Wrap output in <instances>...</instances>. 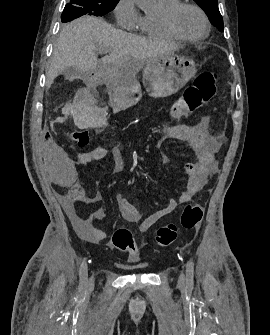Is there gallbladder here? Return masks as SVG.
I'll return each mask as SVG.
<instances>
[{
    "label": "gallbladder",
    "mask_w": 270,
    "mask_h": 335,
    "mask_svg": "<svg viewBox=\"0 0 270 335\" xmlns=\"http://www.w3.org/2000/svg\"><path fill=\"white\" fill-rule=\"evenodd\" d=\"M63 74L65 76V80H70V82H73V80H84V78H87V74H85V72H79V70H76L73 66L65 68V70H63Z\"/></svg>",
    "instance_id": "gallbladder-1"
}]
</instances>
